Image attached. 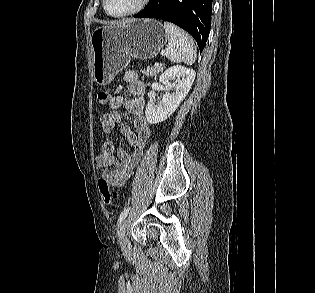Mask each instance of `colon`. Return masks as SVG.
Returning <instances> with one entry per match:
<instances>
[{
  "label": "colon",
  "mask_w": 315,
  "mask_h": 293,
  "mask_svg": "<svg viewBox=\"0 0 315 293\" xmlns=\"http://www.w3.org/2000/svg\"><path fill=\"white\" fill-rule=\"evenodd\" d=\"M109 93L107 91H100L97 95V102L99 104H105L109 100ZM99 191L102 197L103 202L106 205H111L114 199V193L111 190L110 184L105 179H100L98 182Z\"/></svg>",
  "instance_id": "obj_1"
}]
</instances>
